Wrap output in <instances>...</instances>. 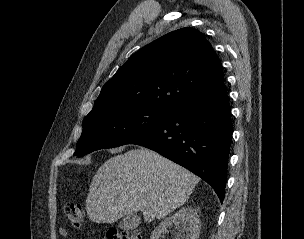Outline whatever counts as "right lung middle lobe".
<instances>
[{
    "label": "right lung middle lobe",
    "instance_id": "dd1d6c3e",
    "mask_svg": "<svg viewBox=\"0 0 304 239\" xmlns=\"http://www.w3.org/2000/svg\"><path fill=\"white\" fill-rule=\"evenodd\" d=\"M169 112L150 107H128L104 111L83 120V131L74 155L128 144L161 125Z\"/></svg>",
    "mask_w": 304,
    "mask_h": 239
}]
</instances>
